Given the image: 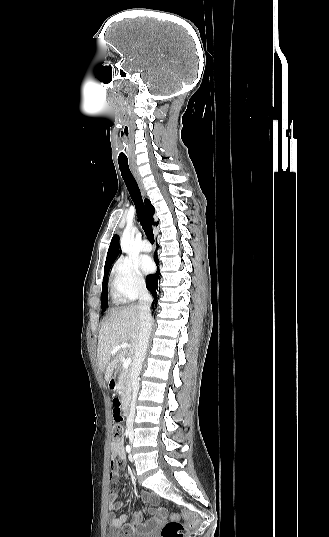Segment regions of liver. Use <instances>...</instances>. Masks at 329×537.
I'll return each instance as SVG.
<instances>
[{
    "instance_id": "obj_1",
    "label": "liver",
    "mask_w": 329,
    "mask_h": 537,
    "mask_svg": "<svg viewBox=\"0 0 329 537\" xmlns=\"http://www.w3.org/2000/svg\"><path fill=\"white\" fill-rule=\"evenodd\" d=\"M139 309L136 305L113 310L110 317L104 321L98 337L97 356L100 369L105 373L108 382L117 373L120 361L127 355L134 358L139 334ZM128 343V348H122L112 355L114 347Z\"/></svg>"
}]
</instances>
